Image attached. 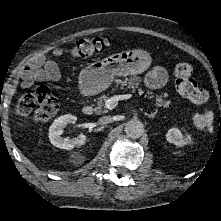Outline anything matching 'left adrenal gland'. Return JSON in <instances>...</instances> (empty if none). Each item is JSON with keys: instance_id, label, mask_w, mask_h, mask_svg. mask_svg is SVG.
<instances>
[{"instance_id": "obj_1", "label": "left adrenal gland", "mask_w": 221, "mask_h": 221, "mask_svg": "<svg viewBox=\"0 0 221 221\" xmlns=\"http://www.w3.org/2000/svg\"><path fill=\"white\" fill-rule=\"evenodd\" d=\"M157 110L154 112V113H151V114H147V116L151 119L155 118L156 114H157Z\"/></svg>"}]
</instances>
